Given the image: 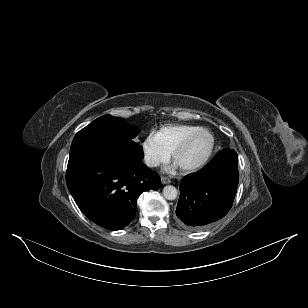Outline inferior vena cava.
Wrapping results in <instances>:
<instances>
[{"label":"inferior vena cava","mask_w":308,"mask_h":308,"mask_svg":"<svg viewBox=\"0 0 308 308\" xmlns=\"http://www.w3.org/2000/svg\"><path fill=\"white\" fill-rule=\"evenodd\" d=\"M145 163L149 167H155L159 164L158 160L151 158V157H146L145 158Z\"/></svg>","instance_id":"inferior-vena-cava-1"}]
</instances>
